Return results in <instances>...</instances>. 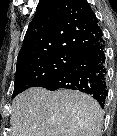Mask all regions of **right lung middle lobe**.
<instances>
[{"label":"right lung middle lobe","instance_id":"obj_1","mask_svg":"<svg viewBox=\"0 0 117 136\" xmlns=\"http://www.w3.org/2000/svg\"><path fill=\"white\" fill-rule=\"evenodd\" d=\"M77 54L62 52L29 62L16 69L12 98L31 87H37L62 70Z\"/></svg>","mask_w":117,"mask_h":136}]
</instances>
